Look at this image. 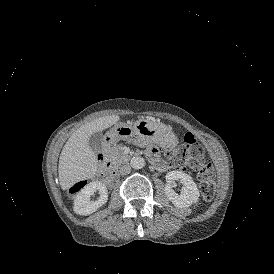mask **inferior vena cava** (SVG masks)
Segmentation results:
<instances>
[{"mask_svg": "<svg viewBox=\"0 0 274 274\" xmlns=\"http://www.w3.org/2000/svg\"><path fill=\"white\" fill-rule=\"evenodd\" d=\"M130 171H131V167H130V165H128V164H125V165H123V166H121V167L119 168V173H120L121 175L129 174Z\"/></svg>", "mask_w": 274, "mask_h": 274, "instance_id": "1", "label": "inferior vena cava"}]
</instances>
